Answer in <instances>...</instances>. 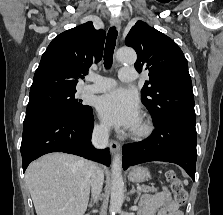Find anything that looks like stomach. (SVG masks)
Returning a JSON list of instances; mask_svg holds the SVG:
<instances>
[{
	"mask_svg": "<svg viewBox=\"0 0 223 215\" xmlns=\"http://www.w3.org/2000/svg\"><path fill=\"white\" fill-rule=\"evenodd\" d=\"M128 177L130 181H137V183H140V181H145V179H148L149 171H147L145 167H135V169L130 171Z\"/></svg>",
	"mask_w": 223,
	"mask_h": 215,
	"instance_id": "0dacf381",
	"label": "stomach"
}]
</instances>
